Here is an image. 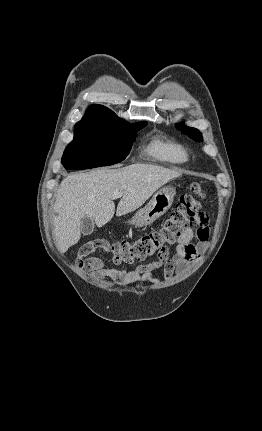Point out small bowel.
I'll return each mask as SVG.
<instances>
[{
    "label": "small bowel",
    "mask_w": 262,
    "mask_h": 431,
    "mask_svg": "<svg viewBox=\"0 0 262 431\" xmlns=\"http://www.w3.org/2000/svg\"><path fill=\"white\" fill-rule=\"evenodd\" d=\"M198 228H187L176 242V253L173 257L159 256V258L149 264L137 265L131 270L118 269L106 266L105 262L99 258L87 260L92 275L99 278H110L113 281L128 286L136 283H148L153 280V272L160 267H164V277L170 280L176 272L184 273L200 258L203 249L207 245L210 235V228L207 224L196 222ZM196 240V241H195Z\"/></svg>",
    "instance_id": "1"
}]
</instances>
